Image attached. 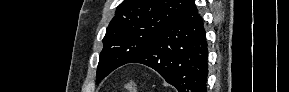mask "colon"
<instances>
[{
    "mask_svg": "<svg viewBox=\"0 0 289 92\" xmlns=\"http://www.w3.org/2000/svg\"><path fill=\"white\" fill-rule=\"evenodd\" d=\"M124 88L127 92H138L137 85L134 81L129 80L124 84Z\"/></svg>",
    "mask_w": 289,
    "mask_h": 92,
    "instance_id": "obj_1",
    "label": "colon"
}]
</instances>
